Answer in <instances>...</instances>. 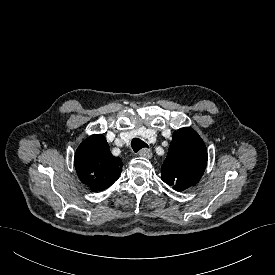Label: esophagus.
Instances as JSON below:
<instances>
[{
  "instance_id": "obj_1",
  "label": "esophagus",
  "mask_w": 275,
  "mask_h": 275,
  "mask_svg": "<svg viewBox=\"0 0 275 275\" xmlns=\"http://www.w3.org/2000/svg\"><path fill=\"white\" fill-rule=\"evenodd\" d=\"M139 156L149 159L152 157V151L150 148H143L139 151Z\"/></svg>"
}]
</instances>
